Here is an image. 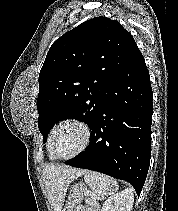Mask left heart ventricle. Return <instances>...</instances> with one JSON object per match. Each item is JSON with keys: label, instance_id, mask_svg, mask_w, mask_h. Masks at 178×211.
<instances>
[{"label": "left heart ventricle", "instance_id": "obj_1", "mask_svg": "<svg viewBox=\"0 0 178 211\" xmlns=\"http://www.w3.org/2000/svg\"><path fill=\"white\" fill-rule=\"evenodd\" d=\"M82 142V130L76 125H66L56 135L55 149L60 156H68L76 152Z\"/></svg>", "mask_w": 178, "mask_h": 211}]
</instances>
